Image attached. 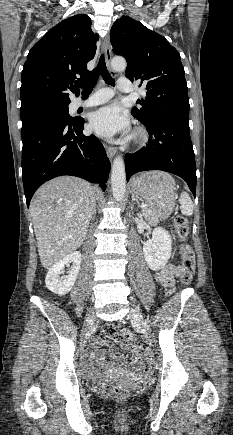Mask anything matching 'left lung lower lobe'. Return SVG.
<instances>
[{
    "label": "left lung lower lobe",
    "mask_w": 233,
    "mask_h": 435,
    "mask_svg": "<svg viewBox=\"0 0 233 435\" xmlns=\"http://www.w3.org/2000/svg\"><path fill=\"white\" fill-rule=\"evenodd\" d=\"M149 143L125 158L127 181L141 171L162 170L186 181L196 194V164L188 121H157L144 124Z\"/></svg>",
    "instance_id": "1"
}]
</instances>
